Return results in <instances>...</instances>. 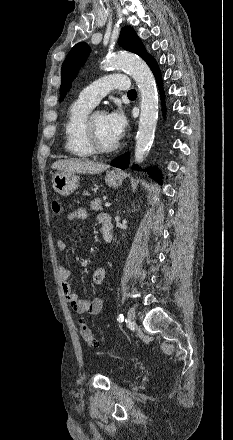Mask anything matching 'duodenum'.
Masks as SVG:
<instances>
[{
  "mask_svg": "<svg viewBox=\"0 0 233 440\" xmlns=\"http://www.w3.org/2000/svg\"><path fill=\"white\" fill-rule=\"evenodd\" d=\"M102 236L105 242L110 243L113 239V225L112 220L109 216L102 220Z\"/></svg>",
  "mask_w": 233,
  "mask_h": 440,
  "instance_id": "1",
  "label": "duodenum"
}]
</instances>
